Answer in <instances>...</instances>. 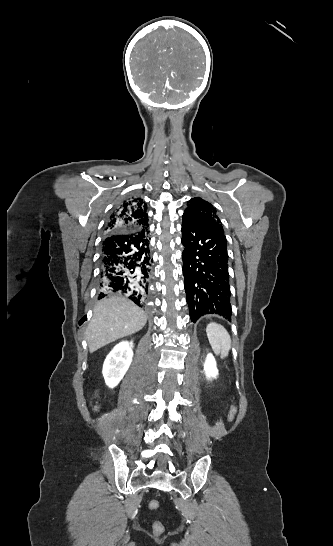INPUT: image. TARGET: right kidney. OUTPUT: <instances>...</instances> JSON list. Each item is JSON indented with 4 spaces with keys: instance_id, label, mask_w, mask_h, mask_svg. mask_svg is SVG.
I'll return each instance as SVG.
<instances>
[{
    "instance_id": "obj_1",
    "label": "right kidney",
    "mask_w": 333,
    "mask_h": 546,
    "mask_svg": "<svg viewBox=\"0 0 333 546\" xmlns=\"http://www.w3.org/2000/svg\"><path fill=\"white\" fill-rule=\"evenodd\" d=\"M133 342L122 341L107 355L103 364V376L106 385L114 388L128 370L133 357Z\"/></svg>"
}]
</instances>
